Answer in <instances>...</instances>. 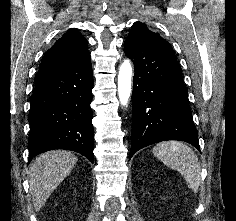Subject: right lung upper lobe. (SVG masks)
<instances>
[{"mask_svg":"<svg viewBox=\"0 0 236 221\" xmlns=\"http://www.w3.org/2000/svg\"><path fill=\"white\" fill-rule=\"evenodd\" d=\"M87 44L88 42L77 29H69L45 53L37 76L89 62Z\"/></svg>","mask_w":236,"mask_h":221,"instance_id":"right-lung-upper-lobe-1","label":"right lung upper lobe"}]
</instances>
